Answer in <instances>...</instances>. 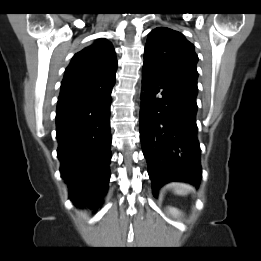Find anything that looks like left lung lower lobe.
<instances>
[{
    "label": "left lung lower lobe",
    "mask_w": 261,
    "mask_h": 261,
    "mask_svg": "<svg viewBox=\"0 0 261 261\" xmlns=\"http://www.w3.org/2000/svg\"><path fill=\"white\" fill-rule=\"evenodd\" d=\"M139 128L153 194L170 181L199 184L202 175L197 138V90L143 67Z\"/></svg>",
    "instance_id": "1"
}]
</instances>
